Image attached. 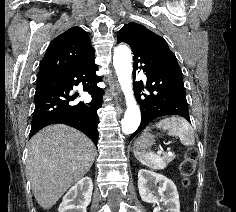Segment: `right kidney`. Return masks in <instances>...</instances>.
<instances>
[{"label": "right kidney", "instance_id": "ca27d5eb", "mask_svg": "<svg viewBox=\"0 0 236 212\" xmlns=\"http://www.w3.org/2000/svg\"><path fill=\"white\" fill-rule=\"evenodd\" d=\"M92 190V179L88 176L82 178L65 194L58 212H87Z\"/></svg>", "mask_w": 236, "mask_h": 212}]
</instances>
